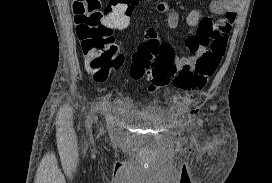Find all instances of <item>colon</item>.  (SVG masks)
Here are the masks:
<instances>
[{"label": "colon", "mask_w": 272, "mask_h": 183, "mask_svg": "<svg viewBox=\"0 0 272 183\" xmlns=\"http://www.w3.org/2000/svg\"><path fill=\"white\" fill-rule=\"evenodd\" d=\"M139 0H109L104 10L100 0H73L75 30L86 67L95 78L108 75L124 62L114 40V30L123 29ZM226 37L213 39L210 48L195 66L178 69L173 47L164 41L142 42L132 58L130 74L138 80L146 77L150 90L172 85L182 91L203 89L215 74L226 51Z\"/></svg>", "instance_id": "5ec220e1"}]
</instances>
